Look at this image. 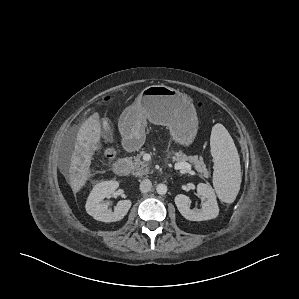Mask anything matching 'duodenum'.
Returning a JSON list of instances; mask_svg holds the SVG:
<instances>
[{
    "label": "duodenum",
    "instance_id": "duodenum-1",
    "mask_svg": "<svg viewBox=\"0 0 299 299\" xmlns=\"http://www.w3.org/2000/svg\"><path fill=\"white\" fill-rule=\"evenodd\" d=\"M135 146V142L132 138H126L125 139V147L128 150H133ZM114 173L117 176L123 177L128 174V163L126 160H119L114 164L113 167Z\"/></svg>",
    "mask_w": 299,
    "mask_h": 299
}]
</instances>
